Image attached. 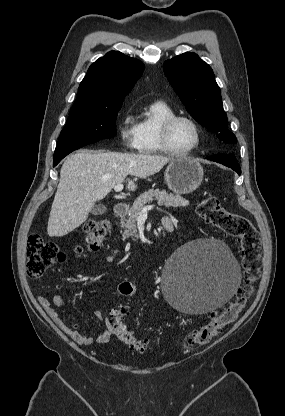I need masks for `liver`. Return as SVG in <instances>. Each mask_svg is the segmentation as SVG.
Instances as JSON below:
<instances>
[{
	"instance_id": "6515ba94",
	"label": "liver",
	"mask_w": 285,
	"mask_h": 416,
	"mask_svg": "<svg viewBox=\"0 0 285 416\" xmlns=\"http://www.w3.org/2000/svg\"><path fill=\"white\" fill-rule=\"evenodd\" d=\"M172 160L152 154H103L95 150H78L61 168L48 220V236L61 238L79 228L86 222L95 202L103 200L117 184L128 182L127 190L135 192L137 186L127 176H154Z\"/></svg>"
}]
</instances>
